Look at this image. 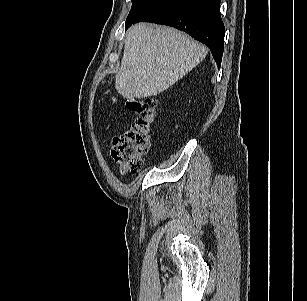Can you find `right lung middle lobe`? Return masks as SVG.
Listing matches in <instances>:
<instances>
[{"instance_id":"1","label":"right lung middle lobe","mask_w":307,"mask_h":301,"mask_svg":"<svg viewBox=\"0 0 307 301\" xmlns=\"http://www.w3.org/2000/svg\"><path fill=\"white\" fill-rule=\"evenodd\" d=\"M164 1L165 0H132V8L127 17L126 25L133 23Z\"/></svg>"}]
</instances>
